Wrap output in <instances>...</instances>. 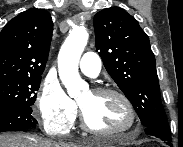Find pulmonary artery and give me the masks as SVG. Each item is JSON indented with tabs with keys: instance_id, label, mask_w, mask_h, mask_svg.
Instances as JSON below:
<instances>
[{
	"instance_id": "obj_1",
	"label": "pulmonary artery",
	"mask_w": 183,
	"mask_h": 147,
	"mask_svg": "<svg viewBox=\"0 0 183 147\" xmlns=\"http://www.w3.org/2000/svg\"><path fill=\"white\" fill-rule=\"evenodd\" d=\"M79 68L85 75L96 77L101 70V59L94 52H86L79 62Z\"/></svg>"
}]
</instances>
